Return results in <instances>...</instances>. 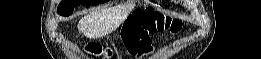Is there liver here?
Instances as JSON below:
<instances>
[{
  "instance_id": "6515ba94",
  "label": "liver",
  "mask_w": 261,
  "mask_h": 59,
  "mask_svg": "<svg viewBox=\"0 0 261 59\" xmlns=\"http://www.w3.org/2000/svg\"><path fill=\"white\" fill-rule=\"evenodd\" d=\"M123 19L116 9H97L81 18L77 27L87 38H100L112 33Z\"/></svg>"
}]
</instances>
